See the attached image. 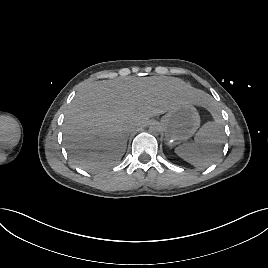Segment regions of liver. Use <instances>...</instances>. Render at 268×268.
<instances>
[{
	"instance_id": "liver-1",
	"label": "liver",
	"mask_w": 268,
	"mask_h": 268,
	"mask_svg": "<svg viewBox=\"0 0 268 268\" xmlns=\"http://www.w3.org/2000/svg\"><path fill=\"white\" fill-rule=\"evenodd\" d=\"M206 96L178 78L127 77L83 87L65 113L63 135L72 161L86 171L115 166L128 128L182 104L205 105Z\"/></svg>"
}]
</instances>
